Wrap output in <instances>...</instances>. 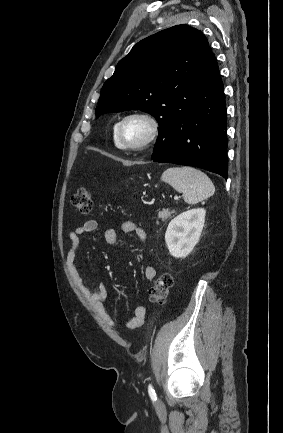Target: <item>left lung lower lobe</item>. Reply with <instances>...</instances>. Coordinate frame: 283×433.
<instances>
[{
  "label": "left lung lower lobe",
  "instance_id": "1",
  "mask_svg": "<svg viewBox=\"0 0 283 433\" xmlns=\"http://www.w3.org/2000/svg\"><path fill=\"white\" fill-rule=\"evenodd\" d=\"M194 98L191 110L160 127L151 159L203 168L227 179L225 95L213 54L196 79Z\"/></svg>",
  "mask_w": 283,
  "mask_h": 433
}]
</instances>
